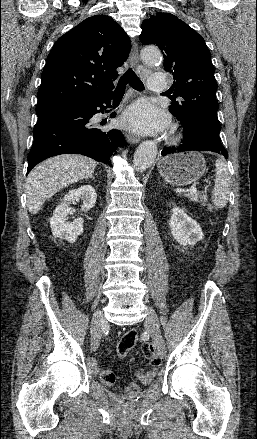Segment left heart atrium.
I'll list each match as a JSON object with an SVG mask.
<instances>
[{
	"label": "left heart atrium",
	"mask_w": 257,
	"mask_h": 439,
	"mask_svg": "<svg viewBox=\"0 0 257 439\" xmlns=\"http://www.w3.org/2000/svg\"><path fill=\"white\" fill-rule=\"evenodd\" d=\"M127 128L142 134L163 132L169 123L168 115L149 101H140L129 107L122 117Z\"/></svg>",
	"instance_id": "1"
}]
</instances>
